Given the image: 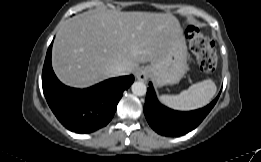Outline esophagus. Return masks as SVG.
<instances>
[{
    "instance_id": "obj_1",
    "label": "esophagus",
    "mask_w": 261,
    "mask_h": 162,
    "mask_svg": "<svg viewBox=\"0 0 261 162\" xmlns=\"http://www.w3.org/2000/svg\"><path fill=\"white\" fill-rule=\"evenodd\" d=\"M135 76L138 80L144 81L148 79L149 72L147 68L141 67L136 71Z\"/></svg>"
}]
</instances>
